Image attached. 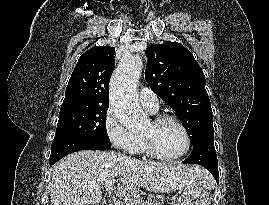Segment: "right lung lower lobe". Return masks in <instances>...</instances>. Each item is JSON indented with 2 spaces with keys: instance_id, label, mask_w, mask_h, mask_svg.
<instances>
[{
  "instance_id": "right-lung-lower-lobe-1",
  "label": "right lung lower lobe",
  "mask_w": 269,
  "mask_h": 205,
  "mask_svg": "<svg viewBox=\"0 0 269 205\" xmlns=\"http://www.w3.org/2000/svg\"><path fill=\"white\" fill-rule=\"evenodd\" d=\"M111 145L92 138L69 136L54 139L50 155V165L62 157L80 150H109Z\"/></svg>"
}]
</instances>
